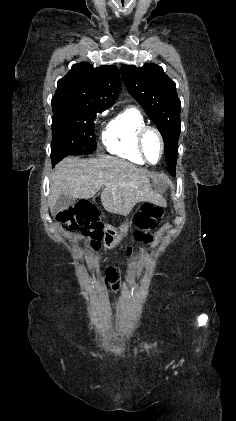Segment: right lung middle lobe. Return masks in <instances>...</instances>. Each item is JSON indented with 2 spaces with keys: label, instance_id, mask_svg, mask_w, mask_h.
I'll return each mask as SVG.
<instances>
[{
  "label": "right lung middle lobe",
  "instance_id": "right-lung-middle-lobe-1",
  "mask_svg": "<svg viewBox=\"0 0 236 421\" xmlns=\"http://www.w3.org/2000/svg\"><path fill=\"white\" fill-rule=\"evenodd\" d=\"M109 107L90 102L52 99V150L55 165L70 154H91L96 150V113Z\"/></svg>",
  "mask_w": 236,
  "mask_h": 421
}]
</instances>
